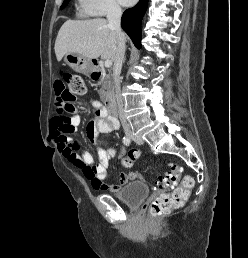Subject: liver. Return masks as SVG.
Instances as JSON below:
<instances>
[{"label":"liver","mask_w":248,"mask_h":258,"mask_svg":"<svg viewBox=\"0 0 248 258\" xmlns=\"http://www.w3.org/2000/svg\"><path fill=\"white\" fill-rule=\"evenodd\" d=\"M117 48V35L107 20L85 21L68 20L60 28L55 41L57 61L67 53H76L90 60L102 57L114 60Z\"/></svg>","instance_id":"liver-1"}]
</instances>
